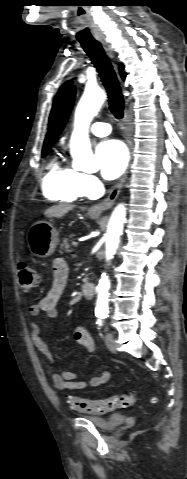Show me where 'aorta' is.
<instances>
[{
	"mask_svg": "<svg viewBox=\"0 0 187 479\" xmlns=\"http://www.w3.org/2000/svg\"><path fill=\"white\" fill-rule=\"evenodd\" d=\"M104 100L105 94L102 89L99 87H87L75 111L74 130L70 140V152L74 160V168L86 173H95L100 167L98 160L92 154L88 130L93 117L97 115ZM125 221L126 208L123 204H119L114 209L108 224L105 252L107 261L114 257ZM109 289L110 280L108 276L103 273L98 284L97 315H106L109 312Z\"/></svg>",
	"mask_w": 187,
	"mask_h": 479,
	"instance_id": "1",
	"label": "aorta"
}]
</instances>
